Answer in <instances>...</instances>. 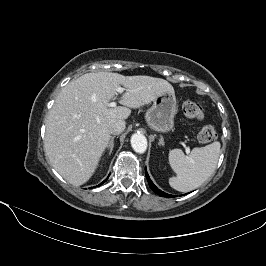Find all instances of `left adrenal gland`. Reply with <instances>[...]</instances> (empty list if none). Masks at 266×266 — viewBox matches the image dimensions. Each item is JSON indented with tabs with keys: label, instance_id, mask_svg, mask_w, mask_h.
<instances>
[{
	"label": "left adrenal gland",
	"instance_id": "1",
	"mask_svg": "<svg viewBox=\"0 0 266 266\" xmlns=\"http://www.w3.org/2000/svg\"><path fill=\"white\" fill-rule=\"evenodd\" d=\"M159 145H164V139H163V137L161 136V138H160V140H159V143H158Z\"/></svg>",
	"mask_w": 266,
	"mask_h": 266
}]
</instances>
